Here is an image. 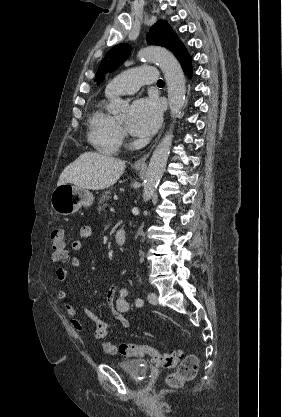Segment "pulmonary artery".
<instances>
[{"instance_id": "1", "label": "pulmonary artery", "mask_w": 282, "mask_h": 417, "mask_svg": "<svg viewBox=\"0 0 282 417\" xmlns=\"http://www.w3.org/2000/svg\"><path fill=\"white\" fill-rule=\"evenodd\" d=\"M155 65H142L140 69H131L113 78L105 89L107 96L133 94L147 83H158Z\"/></svg>"}]
</instances>
